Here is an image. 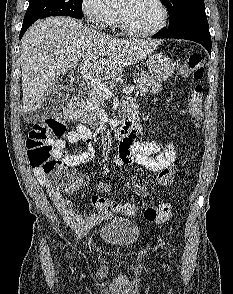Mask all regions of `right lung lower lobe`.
<instances>
[{
	"label": "right lung lower lobe",
	"mask_w": 233,
	"mask_h": 294,
	"mask_svg": "<svg viewBox=\"0 0 233 294\" xmlns=\"http://www.w3.org/2000/svg\"><path fill=\"white\" fill-rule=\"evenodd\" d=\"M30 25H28V26H22V29H21V32H20V38L23 36V34L25 33V31L28 29V27H29Z\"/></svg>",
	"instance_id": "1"
}]
</instances>
